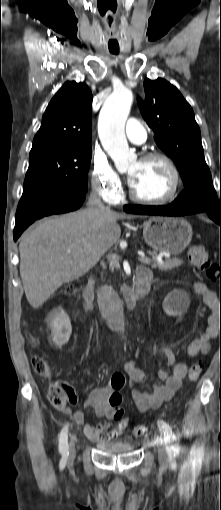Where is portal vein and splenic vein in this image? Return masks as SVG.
Wrapping results in <instances>:
<instances>
[{
    "label": "portal vein and splenic vein",
    "instance_id": "obj_1",
    "mask_svg": "<svg viewBox=\"0 0 221 510\" xmlns=\"http://www.w3.org/2000/svg\"><path fill=\"white\" fill-rule=\"evenodd\" d=\"M68 252H70V251H68ZM108 259H109L110 261H117V260L119 259V256H118V255H116V254H111V255H108ZM138 260H139L140 262L144 263V264H150V263H151L150 258L146 257L143 253H139ZM158 260H159V259H158ZM159 261H161V260H159ZM159 261H158V262H159ZM160 263H162V262H160Z\"/></svg>",
    "mask_w": 221,
    "mask_h": 510
}]
</instances>
